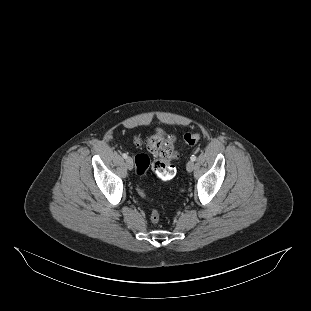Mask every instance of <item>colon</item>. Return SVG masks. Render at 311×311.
<instances>
[{
  "instance_id": "1",
  "label": "colon",
  "mask_w": 311,
  "mask_h": 311,
  "mask_svg": "<svg viewBox=\"0 0 311 311\" xmlns=\"http://www.w3.org/2000/svg\"><path fill=\"white\" fill-rule=\"evenodd\" d=\"M200 139L201 134L199 132H188L184 135V142L187 145H195ZM135 142L137 144H144L147 150L156 156V160L152 166L160 179L170 180L174 177L175 169L171 164V160L176 156V152L170 137L166 136L162 130H157L145 139L137 138ZM135 164L136 175L139 178L137 191L144 199L149 200L141 179L150 167V159L146 154H138L135 157ZM150 219L154 224L159 223L160 214L156 208H153L151 211Z\"/></svg>"
}]
</instances>
